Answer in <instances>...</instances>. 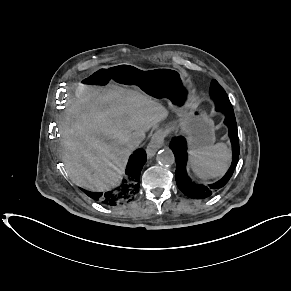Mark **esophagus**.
Masks as SVG:
<instances>
[{"label": "esophagus", "mask_w": 291, "mask_h": 291, "mask_svg": "<svg viewBox=\"0 0 291 291\" xmlns=\"http://www.w3.org/2000/svg\"><path fill=\"white\" fill-rule=\"evenodd\" d=\"M165 135L166 134L163 130H158L153 134L151 141L146 148L148 157H153L156 152L163 146Z\"/></svg>", "instance_id": "esophagus-1"}]
</instances>
